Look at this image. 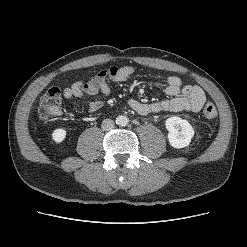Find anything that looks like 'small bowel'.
<instances>
[{"instance_id": "c3829d8e", "label": "small bowel", "mask_w": 247, "mask_h": 247, "mask_svg": "<svg viewBox=\"0 0 247 247\" xmlns=\"http://www.w3.org/2000/svg\"><path fill=\"white\" fill-rule=\"evenodd\" d=\"M134 73L131 66H112L102 70L90 80L76 81L66 87L63 95L66 99L89 97L88 110L93 113L100 109L102 102L94 99L101 92L105 97L110 94L108 80L114 82L127 81ZM165 94L169 99L152 103H144L136 99H130L128 104L132 110L140 115H148L158 112H198L206 101L205 93L195 85H183L177 76H169L162 81Z\"/></svg>"}]
</instances>
